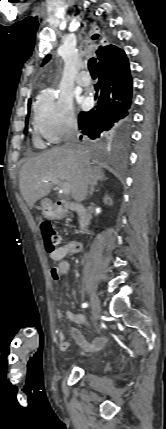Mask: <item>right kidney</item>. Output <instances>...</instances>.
Wrapping results in <instances>:
<instances>
[{
	"label": "right kidney",
	"mask_w": 166,
	"mask_h": 429,
	"mask_svg": "<svg viewBox=\"0 0 166 429\" xmlns=\"http://www.w3.org/2000/svg\"><path fill=\"white\" fill-rule=\"evenodd\" d=\"M103 202H104L106 205H109V206H112V205H113V201H112V199H111L108 195H105V196H104V198H103Z\"/></svg>",
	"instance_id": "obj_1"
}]
</instances>
